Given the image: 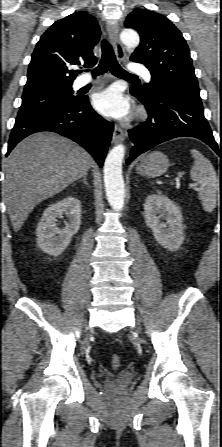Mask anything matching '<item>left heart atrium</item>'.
Instances as JSON below:
<instances>
[{
	"label": "left heart atrium",
	"instance_id": "39dd6f15",
	"mask_svg": "<svg viewBox=\"0 0 222 447\" xmlns=\"http://www.w3.org/2000/svg\"><path fill=\"white\" fill-rule=\"evenodd\" d=\"M94 106L100 113L115 119H124L130 113L129 100L115 86L96 94Z\"/></svg>",
	"mask_w": 222,
	"mask_h": 447
}]
</instances>
